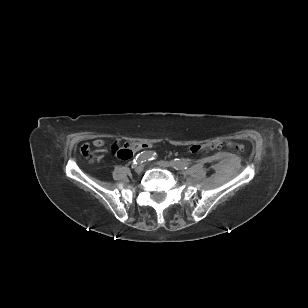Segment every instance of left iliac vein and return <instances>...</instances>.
<instances>
[{
	"label": "left iliac vein",
	"instance_id": "left-iliac-vein-1",
	"mask_svg": "<svg viewBox=\"0 0 308 308\" xmlns=\"http://www.w3.org/2000/svg\"><path fill=\"white\" fill-rule=\"evenodd\" d=\"M157 165H158L159 167H162V168H169V167H172V164H171L170 162H168V161H163V160L158 161V162H157Z\"/></svg>",
	"mask_w": 308,
	"mask_h": 308
}]
</instances>
